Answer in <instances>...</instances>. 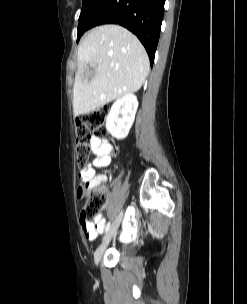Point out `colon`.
I'll use <instances>...</instances> for the list:
<instances>
[{
	"instance_id": "5ec220e1",
	"label": "colon",
	"mask_w": 247,
	"mask_h": 304,
	"mask_svg": "<svg viewBox=\"0 0 247 304\" xmlns=\"http://www.w3.org/2000/svg\"><path fill=\"white\" fill-rule=\"evenodd\" d=\"M107 115L106 108H97L76 119V160L80 167H83L89 159L91 134L103 136L106 133ZM96 186L82 182L78 189L81 221L86 224L93 223L106 205L107 195L104 192L93 194V188Z\"/></svg>"
}]
</instances>
